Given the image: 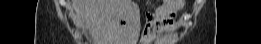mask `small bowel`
Wrapping results in <instances>:
<instances>
[{
    "label": "small bowel",
    "mask_w": 261,
    "mask_h": 44,
    "mask_svg": "<svg viewBox=\"0 0 261 44\" xmlns=\"http://www.w3.org/2000/svg\"><path fill=\"white\" fill-rule=\"evenodd\" d=\"M180 7L181 6H170V4L160 6L156 11L155 16H153L148 24V33L151 32L152 34H155L156 30L159 32L171 27Z\"/></svg>",
    "instance_id": "obj_1"
}]
</instances>
